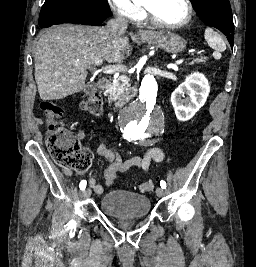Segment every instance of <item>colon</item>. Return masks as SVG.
Instances as JSON below:
<instances>
[{"label": "colon", "instance_id": "5ec220e1", "mask_svg": "<svg viewBox=\"0 0 256 267\" xmlns=\"http://www.w3.org/2000/svg\"><path fill=\"white\" fill-rule=\"evenodd\" d=\"M79 106L87 114L96 115L102 110V102L96 96H84ZM41 109L51 117L47 145L54 161L69 168L86 169L91 162V154L87 148L75 142L72 133L66 131L63 125L54 119L61 114L59 105L52 101H43ZM137 188L141 192H152L156 189V183L142 182Z\"/></svg>", "mask_w": 256, "mask_h": 267}]
</instances>
